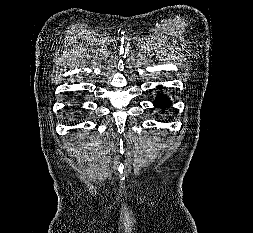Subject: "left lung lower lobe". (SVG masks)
<instances>
[{
    "instance_id": "left-lung-lower-lobe-1",
    "label": "left lung lower lobe",
    "mask_w": 253,
    "mask_h": 233,
    "mask_svg": "<svg viewBox=\"0 0 253 233\" xmlns=\"http://www.w3.org/2000/svg\"><path fill=\"white\" fill-rule=\"evenodd\" d=\"M169 104H170L169 99L164 95H159L157 97V100L155 101V106L161 107L162 109H165Z\"/></svg>"
}]
</instances>
